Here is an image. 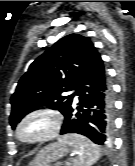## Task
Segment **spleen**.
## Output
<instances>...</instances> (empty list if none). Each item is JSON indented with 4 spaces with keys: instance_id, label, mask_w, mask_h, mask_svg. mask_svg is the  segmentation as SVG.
<instances>
[{
    "instance_id": "obj_1",
    "label": "spleen",
    "mask_w": 135,
    "mask_h": 166,
    "mask_svg": "<svg viewBox=\"0 0 135 166\" xmlns=\"http://www.w3.org/2000/svg\"><path fill=\"white\" fill-rule=\"evenodd\" d=\"M59 142L71 147L75 155L71 160L72 166H91L100 157V148L82 135H65L59 138Z\"/></svg>"
}]
</instances>
